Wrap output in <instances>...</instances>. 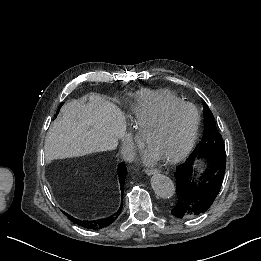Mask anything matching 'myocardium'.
<instances>
[{
	"label": "myocardium",
	"instance_id": "myocardium-1",
	"mask_svg": "<svg viewBox=\"0 0 261 261\" xmlns=\"http://www.w3.org/2000/svg\"><path fill=\"white\" fill-rule=\"evenodd\" d=\"M174 109L189 110L193 115V123H192L190 132L188 134V137H187L185 143L182 145V147L178 151H176L175 153L170 154L166 157H156L155 156L158 160H160L164 163H172V162L180 160L187 154V152L193 146V144L196 140V137H197V133H198V129L200 126V121H201L200 114H199L198 110L196 109V107L189 103H185V102L170 103V104L165 105L162 109H160L158 112H156L154 114H150V115L141 117L137 121V125H136L137 134H138L140 140L142 141V143L144 144L143 139H142L143 129L147 125L160 120L166 113H168Z\"/></svg>",
	"mask_w": 261,
	"mask_h": 261
}]
</instances>
